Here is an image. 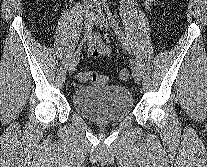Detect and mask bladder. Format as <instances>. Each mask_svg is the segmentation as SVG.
<instances>
[{"label": "bladder", "instance_id": "1", "mask_svg": "<svg viewBox=\"0 0 207 167\" xmlns=\"http://www.w3.org/2000/svg\"><path fill=\"white\" fill-rule=\"evenodd\" d=\"M75 110L95 122H115L127 117L133 108L131 92L121 85L84 86L72 96Z\"/></svg>", "mask_w": 207, "mask_h": 167}]
</instances>
